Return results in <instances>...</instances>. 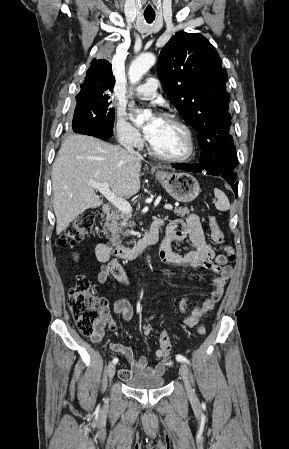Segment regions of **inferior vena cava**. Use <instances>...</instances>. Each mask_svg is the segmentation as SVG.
Masks as SVG:
<instances>
[{"mask_svg": "<svg viewBox=\"0 0 289 449\" xmlns=\"http://www.w3.org/2000/svg\"><path fill=\"white\" fill-rule=\"evenodd\" d=\"M126 149H127V151L130 152L132 155L141 158V155H140L138 152L134 151V149H133V147H132L131 145H129V144L126 145Z\"/></svg>", "mask_w": 289, "mask_h": 449, "instance_id": "obj_1", "label": "inferior vena cava"}]
</instances>
